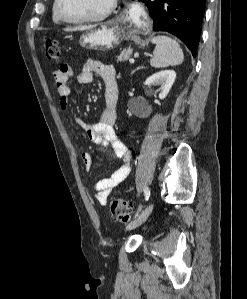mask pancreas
<instances>
[{
    "instance_id": "pancreas-1",
    "label": "pancreas",
    "mask_w": 247,
    "mask_h": 299,
    "mask_svg": "<svg viewBox=\"0 0 247 299\" xmlns=\"http://www.w3.org/2000/svg\"><path fill=\"white\" fill-rule=\"evenodd\" d=\"M130 50H123L119 56H117V61H124L129 57Z\"/></svg>"
}]
</instances>
